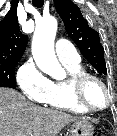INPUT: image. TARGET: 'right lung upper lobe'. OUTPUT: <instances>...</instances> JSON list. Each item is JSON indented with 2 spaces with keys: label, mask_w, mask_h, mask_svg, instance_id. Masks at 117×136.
<instances>
[{
  "label": "right lung upper lobe",
  "mask_w": 117,
  "mask_h": 136,
  "mask_svg": "<svg viewBox=\"0 0 117 136\" xmlns=\"http://www.w3.org/2000/svg\"><path fill=\"white\" fill-rule=\"evenodd\" d=\"M18 0H12L10 11L0 21V61H19L28 37L21 33L17 19Z\"/></svg>",
  "instance_id": "obj_1"
}]
</instances>
